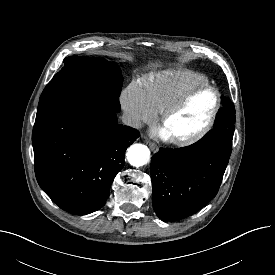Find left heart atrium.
Listing matches in <instances>:
<instances>
[{
	"label": "left heart atrium",
	"instance_id": "39dd6f15",
	"mask_svg": "<svg viewBox=\"0 0 275 275\" xmlns=\"http://www.w3.org/2000/svg\"><path fill=\"white\" fill-rule=\"evenodd\" d=\"M159 135L165 139L169 138V135L164 129L159 130Z\"/></svg>",
	"mask_w": 275,
	"mask_h": 275
}]
</instances>
